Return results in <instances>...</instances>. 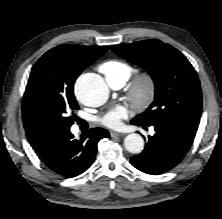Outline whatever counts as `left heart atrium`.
<instances>
[{"label":"left heart atrium","mask_w":222,"mask_h":219,"mask_svg":"<svg viewBox=\"0 0 222 219\" xmlns=\"http://www.w3.org/2000/svg\"><path fill=\"white\" fill-rule=\"evenodd\" d=\"M128 116V110L124 106H116L115 108L104 113L99 118V123L112 129H118L122 126V121Z\"/></svg>","instance_id":"left-heart-atrium-1"}]
</instances>
